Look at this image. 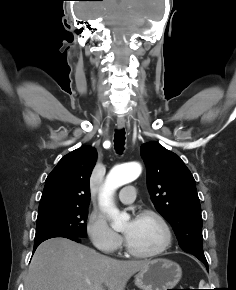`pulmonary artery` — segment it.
I'll use <instances>...</instances> for the list:
<instances>
[{
    "instance_id": "obj_1",
    "label": "pulmonary artery",
    "mask_w": 236,
    "mask_h": 290,
    "mask_svg": "<svg viewBox=\"0 0 236 290\" xmlns=\"http://www.w3.org/2000/svg\"><path fill=\"white\" fill-rule=\"evenodd\" d=\"M136 189L132 185L125 186L119 193V200L122 203H132L135 199Z\"/></svg>"
}]
</instances>
